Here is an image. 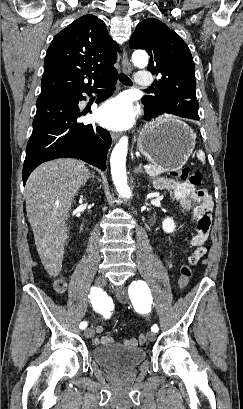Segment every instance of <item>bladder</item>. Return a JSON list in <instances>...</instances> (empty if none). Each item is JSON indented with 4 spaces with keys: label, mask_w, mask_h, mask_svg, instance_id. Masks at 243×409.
<instances>
[{
    "label": "bladder",
    "mask_w": 243,
    "mask_h": 409,
    "mask_svg": "<svg viewBox=\"0 0 243 409\" xmlns=\"http://www.w3.org/2000/svg\"><path fill=\"white\" fill-rule=\"evenodd\" d=\"M92 357L96 363L111 371L124 372L140 365L146 358V352L142 347L104 344L93 349Z\"/></svg>",
    "instance_id": "1"
}]
</instances>
